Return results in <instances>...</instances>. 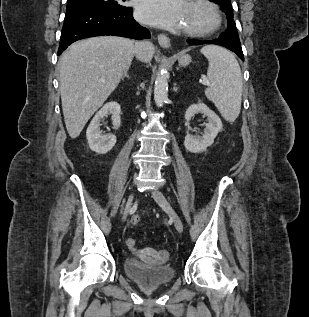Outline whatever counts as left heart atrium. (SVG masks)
<instances>
[{"mask_svg": "<svg viewBox=\"0 0 309 317\" xmlns=\"http://www.w3.org/2000/svg\"><path fill=\"white\" fill-rule=\"evenodd\" d=\"M190 3L188 0H139L137 18L149 25L168 29H182Z\"/></svg>", "mask_w": 309, "mask_h": 317, "instance_id": "obj_1", "label": "left heart atrium"}]
</instances>
